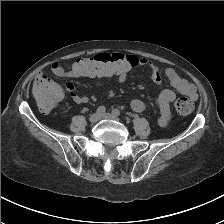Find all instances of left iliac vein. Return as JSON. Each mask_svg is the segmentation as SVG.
Returning a JSON list of instances; mask_svg holds the SVG:
<instances>
[{
    "instance_id": "4c4485c4",
    "label": "left iliac vein",
    "mask_w": 224,
    "mask_h": 224,
    "mask_svg": "<svg viewBox=\"0 0 224 224\" xmlns=\"http://www.w3.org/2000/svg\"><path fill=\"white\" fill-rule=\"evenodd\" d=\"M103 119H112V120H119L117 116L111 114V113H105L101 116Z\"/></svg>"
}]
</instances>
